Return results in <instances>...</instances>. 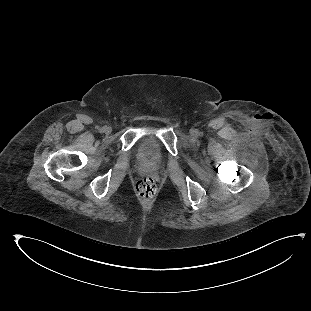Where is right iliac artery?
Wrapping results in <instances>:
<instances>
[{
  "label": "right iliac artery",
  "instance_id": "82829eb1",
  "mask_svg": "<svg viewBox=\"0 0 311 311\" xmlns=\"http://www.w3.org/2000/svg\"><path fill=\"white\" fill-rule=\"evenodd\" d=\"M106 130V128L105 127H102L101 129H100V132H104Z\"/></svg>",
  "mask_w": 311,
  "mask_h": 311
}]
</instances>
